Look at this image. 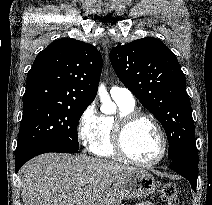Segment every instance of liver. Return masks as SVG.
Segmentation results:
<instances>
[{"instance_id": "1", "label": "liver", "mask_w": 212, "mask_h": 205, "mask_svg": "<svg viewBox=\"0 0 212 205\" xmlns=\"http://www.w3.org/2000/svg\"><path fill=\"white\" fill-rule=\"evenodd\" d=\"M135 169L86 155L42 154L20 169L22 201L24 205H96L112 183Z\"/></svg>"}]
</instances>
